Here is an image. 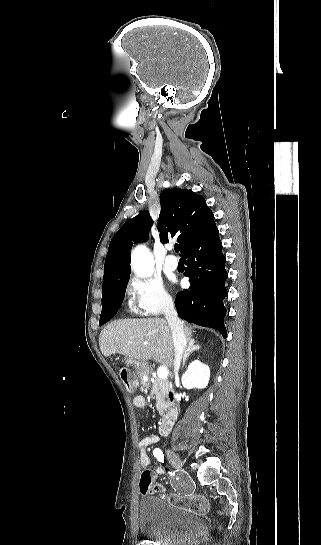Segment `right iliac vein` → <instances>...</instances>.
<instances>
[{"instance_id": "right-iliac-vein-1", "label": "right iliac vein", "mask_w": 321, "mask_h": 545, "mask_svg": "<svg viewBox=\"0 0 321 545\" xmlns=\"http://www.w3.org/2000/svg\"><path fill=\"white\" fill-rule=\"evenodd\" d=\"M166 454H167V458H168L170 464L175 469H181L183 467L182 460L180 459V457L175 452H173L172 450H167Z\"/></svg>"}]
</instances>
